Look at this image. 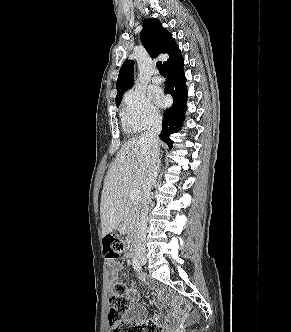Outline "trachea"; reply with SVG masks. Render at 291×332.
Returning <instances> with one entry per match:
<instances>
[{"instance_id": "obj_1", "label": "trachea", "mask_w": 291, "mask_h": 332, "mask_svg": "<svg viewBox=\"0 0 291 332\" xmlns=\"http://www.w3.org/2000/svg\"><path fill=\"white\" fill-rule=\"evenodd\" d=\"M156 67L158 68L160 74H162V75H165V74H166V72H165V70H164V68H163L161 62H158V63L156 64Z\"/></svg>"}]
</instances>
